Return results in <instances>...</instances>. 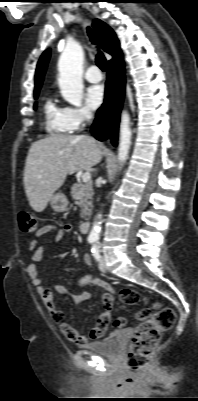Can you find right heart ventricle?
Wrapping results in <instances>:
<instances>
[{"label":"right heart ventricle","mask_w":198,"mask_h":401,"mask_svg":"<svg viewBox=\"0 0 198 401\" xmlns=\"http://www.w3.org/2000/svg\"><path fill=\"white\" fill-rule=\"evenodd\" d=\"M45 126L51 134H69L73 131L67 119L65 108L57 105L52 97L45 99L43 104Z\"/></svg>","instance_id":"obj_1"}]
</instances>
